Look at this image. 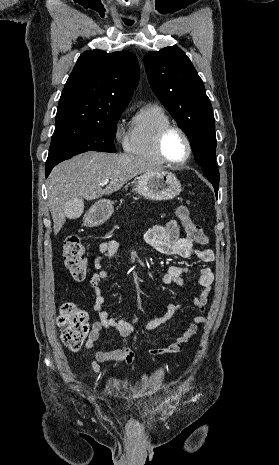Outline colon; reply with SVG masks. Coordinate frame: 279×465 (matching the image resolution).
I'll return each instance as SVG.
<instances>
[{
    "mask_svg": "<svg viewBox=\"0 0 279 465\" xmlns=\"http://www.w3.org/2000/svg\"><path fill=\"white\" fill-rule=\"evenodd\" d=\"M176 216L181 221L187 237L191 241L207 244L208 239L203 228L192 220L186 206H179L176 210ZM63 260L65 267L75 280L81 281L87 277L88 264L84 257V246L78 236H68L64 240ZM58 325L61 328V339L64 345L72 351L79 350L89 332L88 317L85 311L73 303L61 304Z\"/></svg>",
    "mask_w": 279,
    "mask_h": 465,
    "instance_id": "1",
    "label": "colon"
}]
</instances>
